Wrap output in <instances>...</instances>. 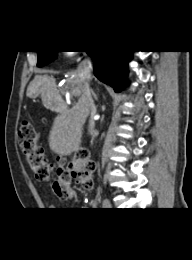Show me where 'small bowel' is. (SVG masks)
Listing matches in <instances>:
<instances>
[{
  "instance_id": "small-bowel-1",
  "label": "small bowel",
  "mask_w": 192,
  "mask_h": 260,
  "mask_svg": "<svg viewBox=\"0 0 192 260\" xmlns=\"http://www.w3.org/2000/svg\"><path fill=\"white\" fill-rule=\"evenodd\" d=\"M76 196H77L76 191L74 189H70L69 193H68V197L66 199L69 200V201H72V200H74L76 198ZM50 208L54 209V208H56V206L55 205H51Z\"/></svg>"
}]
</instances>
